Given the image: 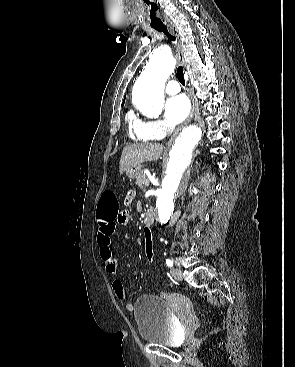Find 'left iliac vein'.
<instances>
[{"label": "left iliac vein", "mask_w": 295, "mask_h": 367, "mask_svg": "<svg viewBox=\"0 0 295 367\" xmlns=\"http://www.w3.org/2000/svg\"><path fill=\"white\" fill-rule=\"evenodd\" d=\"M171 275L176 279V280H182L183 278V274H182V271L181 269L179 268H174L171 270Z\"/></svg>", "instance_id": "4c4485c4"}]
</instances>
